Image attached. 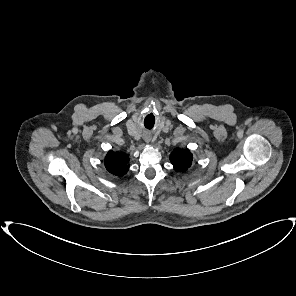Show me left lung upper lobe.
<instances>
[{"mask_svg":"<svg viewBox=\"0 0 296 296\" xmlns=\"http://www.w3.org/2000/svg\"><path fill=\"white\" fill-rule=\"evenodd\" d=\"M170 161L178 172H185L192 164V154L188 149H175L170 155Z\"/></svg>","mask_w":296,"mask_h":296,"instance_id":"1","label":"left lung upper lobe"}]
</instances>
